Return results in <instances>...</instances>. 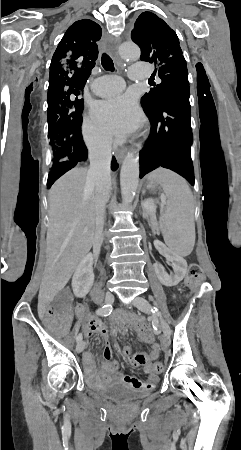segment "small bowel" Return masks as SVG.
<instances>
[{
  "mask_svg": "<svg viewBox=\"0 0 241 450\" xmlns=\"http://www.w3.org/2000/svg\"><path fill=\"white\" fill-rule=\"evenodd\" d=\"M50 302L48 300H43L41 302V310H36V319H56L58 313L56 310H51ZM67 319H72L75 316L74 311L67 310L62 314ZM47 328H51L53 323L47 321L45 323ZM58 329H68L71 326L68 320H58L55 323ZM77 326L83 328L86 335L98 334L107 339L109 330L107 327L99 320L94 318L79 319L77 321ZM126 328L137 333L139 339L150 345L149 353L137 352L133 356L130 355L131 348L129 345H125L121 348V355L124 356L132 365L142 366L143 372L147 376L146 379H141L132 375L122 374L118 371L119 363L117 361H111V349L106 343L103 350V361L100 364L99 371L96 370L94 365L92 355L90 353L84 354V361L86 364V370L91 375L92 380L96 385L105 386L113 384H121L126 387L141 390L143 392H150L156 386L159 378L154 371L152 363L158 358L160 347L155 338L154 333L150 330L147 332H142L146 330L145 326L141 327L142 331H139L134 326V323H127Z\"/></svg>",
  "mask_w": 241,
  "mask_h": 450,
  "instance_id": "c3829d8e",
  "label": "small bowel"
}]
</instances>
